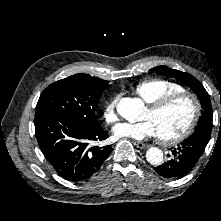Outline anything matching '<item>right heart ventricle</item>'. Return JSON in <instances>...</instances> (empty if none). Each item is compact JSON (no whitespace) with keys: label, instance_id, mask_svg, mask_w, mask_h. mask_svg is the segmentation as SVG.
I'll use <instances>...</instances> for the list:
<instances>
[{"label":"right heart ventricle","instance_id":"right-heart-ventricle-1","mask_svg":"<svg viewBox=\"0 0 221 221\" xmlns=\"http://www.w3.org/2000/svg\"><path fill=\"white\" fill-rule=\"evenodd\" d=\"M134 90L148 104L166 95L185 91L181 85L161 78L141 81Z\"/></svg>","mask_w":221,"mask_h":221}]
</instances>
